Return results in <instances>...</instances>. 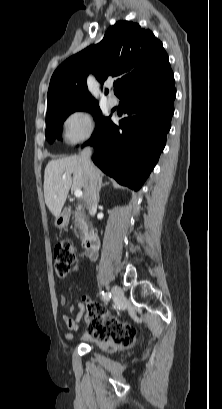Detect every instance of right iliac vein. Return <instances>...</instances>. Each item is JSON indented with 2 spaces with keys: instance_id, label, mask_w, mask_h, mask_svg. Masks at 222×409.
Here are the masks:
<instances>
[{
  "instance_id": "right-iliac-vein-1",
  "label": "right iliac vein",
  "mask_w": 222,
  "mask_h": 409,
  "mask_svg": "<svg viewBox=\"0 0 222 409\" xmlns=\"http://www.w3.org/2000/svg\"><path fill=\"white\" fill-rule=\"evenodd\" d=\"M111 291L117 298H121L123 296V290L119 286H113Z\"/></svg>"
}]
</instances>
